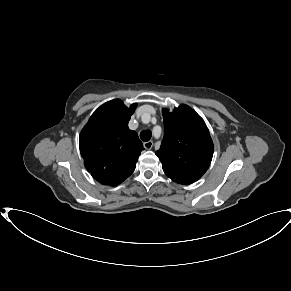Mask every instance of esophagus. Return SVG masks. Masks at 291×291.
Returning <instances> with one entry per match:
<instances>
[{"instance_id": "obj_1", "label": "esophagus", "mask_w": 291, "mask_h": 291, "mask_svg": "<svg viewBox=\"0 0 291 291\" xmlns=\"http://www.w3.org/2000/svg\"><path fill=\"white\" fill-rule=\"evenodd\" d=\"M145 149L150 150L153 147V141L143 143Z\"/></svg>"}]
</instances>
